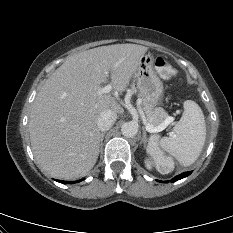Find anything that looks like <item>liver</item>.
<instances>
[{"mask_svg": "<svg viewBox=\"0 0 233 233\" xmlns=\"http://www.w3.org/2000/svg\"><path fill=\"white\" fill-rule=\"evenodd\" d=\"M148 48L115 44L70 56L46 80L33 103L29 120L31 148L37 163L51 176L72 180L95 165L101 142V112L122 114L109 94L99 95L108 81L124 92Z\"/></svg>", "mask_w": 233, "mask_h": 233, "instance_id": "liver-1", "label": "liver"}]
</instances>
